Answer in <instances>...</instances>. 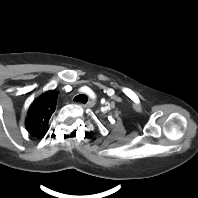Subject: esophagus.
Instances as JSON below:
<instances>
[{
    "mask_svg": "<svg viewBox=\"0 0 198 198\" xmlns=\"http://www.w3.org/2000/svg\"><path fill=\"white\" fill-rule=\"evenodd\" d=\"M84 108H91L95 105L94 101H88L86 104H81Z\"/></svg>",
    "mask_w": 198,
    "mask_h": 198,
    "instance_id": "1",
    "label": "esophagus"
}]
</instances>
